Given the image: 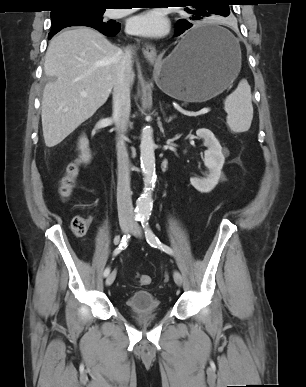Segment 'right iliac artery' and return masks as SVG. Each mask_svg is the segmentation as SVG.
<instances>
[{"label":"right iliac artery","mask_w":306,"mask_h":387,"mask_svg":"<svg viewBox=\"0 0 306 387\" xmlns=\"http://www.w3.org/2000/svg\"><path fill=\"white\" fill-rule=\"evenodd\" d=\"M129 238H130V235H129V234H128V235H124V236L122 237V240H121L120 245H119V246L114 250V252H113V255H114V256L118 255L122 250H124V249L127 247V243H128V241H129ZM109 273H110V268L107 267V268L104 270V273H103L104 277L108 276Z\"/></svg>","instance_id":"obj_1"}]
</instances>
